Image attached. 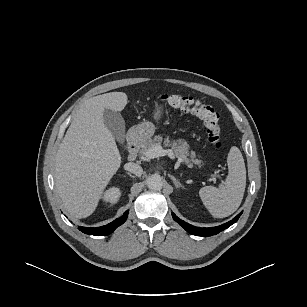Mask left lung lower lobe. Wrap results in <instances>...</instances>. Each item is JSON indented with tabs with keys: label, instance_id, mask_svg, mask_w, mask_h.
I'll return each mask as SVG.
<instances>
[{
	"label": "left lung lower lobe",
	"instance_id": "obj_1",
	"mask_svg": "<svg viewBox=\"0 0 307 307\" xmlns=\"http://www.w3.org/2000/svg\"><path fill=\"white\" fill-rule=\"evenodd\" d=\"M241 214H242V212L239 215H237L234 219H232L231 221H229L225 224H222V225L216 226V227H210V228L194 227V226L186 223L185 221L179 219L174 213H172V217L176 222H178L186 231H188L192 235L207 237V236L215 235V234L223 231L224 229L230 227L232 224L237 222V220L239 219Z\"/></svg>",
	"mask_w": 307,
	"mask_h": 307
}]
</instances>
